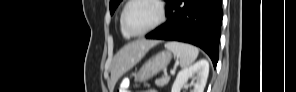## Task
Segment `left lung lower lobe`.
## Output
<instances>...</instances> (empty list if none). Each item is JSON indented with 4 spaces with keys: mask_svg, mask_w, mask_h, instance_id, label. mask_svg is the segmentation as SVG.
Masks as SVG:
<instances>
[{
    "mask_svg": "<svg viewBox=\"0 0 296 92\" xmlns=\"http://www.w3.org/2000/svg\"><path fill=\"white\" fill-rule=\"evenodd\" d=\"M166 23L147 39L176 40L203 49L217 65L222 24V0H169Z\"/></svg>",
    "mask_w": 296,
    "mask_h": 92,
    "instance_id": "1",
    "label": "left lung lower lobe"
}]
</instances>
